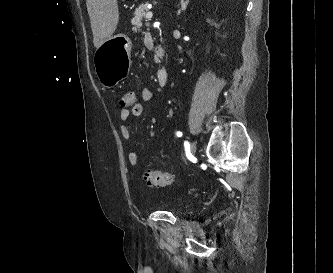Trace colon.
Returning <instances> with one entry per match:
<instances>
[{
  "label": "colon",
  "instance_id": "1",
  "mask_svg": "<svg viewBox=\"0 0 333 273\" xmlns=\"http://www.w3.org/2000/svg\"><path fill=\"white\" fill-rule=\"evenodd\" d=\"M136 103L135 93L132 91H126L120 98V105L122 108L131 107ZM148 185L151 186H167L172 182V176L170 173L161 170H149L145 172L143 176Z\"/></svg>",
  "mask_w": 333,
  "mask_h": 273
}]
</instances>
